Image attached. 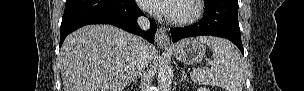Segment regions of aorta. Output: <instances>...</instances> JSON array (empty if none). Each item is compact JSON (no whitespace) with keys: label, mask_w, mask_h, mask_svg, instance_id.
<instances>
[{"label":"aorta","mask_w":304,"mask_h":91,"mask_svg":"<svg viewBox=\"0 0 304 91\" xmlns=\"http://www.w3.org/2000/svg\"><path fill=\"white\" fill-rule=\"evenodd\" d=\"M157 79L160 89L167 91L172 80L171 69L167 61L160 62Z\"/></svg>","instance_id":"aorta-1"}]
</instances>
